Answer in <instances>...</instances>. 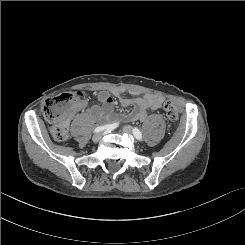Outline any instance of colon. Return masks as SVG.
Masks as SVG:
<instances>
[{
    "instance_id": "1",
    "label": "colon",
    "mask_w": 245,
    "mask_h": 245,
    "mask_svg": "<svg viewBox=\"0 0 245 245\" xmlns=\"http://www.w3.org/2000/svg\"><path fill=\"white\" fill-rule=\"evenodd\" d=\"M87 98L84 92L63 93L46 100L43 106L44 118L51 123V134L56 141L63 142L69 136V117L77 106ZM167 118L175 122L179 114L171 101L164 102Z\"/></svg>"
}]
</instances>
